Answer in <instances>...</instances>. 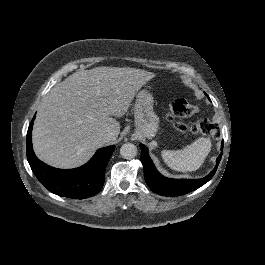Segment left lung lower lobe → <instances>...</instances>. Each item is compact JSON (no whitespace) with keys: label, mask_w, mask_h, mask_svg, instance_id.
Wrapping results in <instances>:
<instances>
[{"label":"left lung lower lobe","mask_w":265,"mask_h":265,"mask_svg":"<svg viewBox=\"0 0 265 265\" xmlns=\"http://www.w3.org/2000/svg\"><path fill=\"white\" fill-rule=\"evenodd\" d=\"M140 149H141V162L143 164L145 181L153 192L163 196H179L187 194L204 185L215 174L222 156L221 153L217 158L216 167L209 175H207L202 179H197V180L169 179L162 176L157 171V169L155 168L154 164L152 163L148 155V149L142 144H140ZM221 149H223V142Z\"/></svg>","instance_id":"0a47b994"}]
</instances>
